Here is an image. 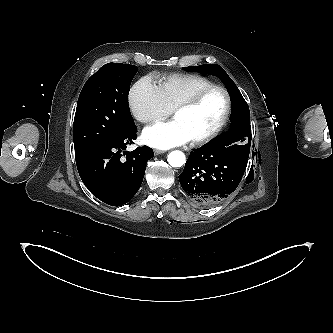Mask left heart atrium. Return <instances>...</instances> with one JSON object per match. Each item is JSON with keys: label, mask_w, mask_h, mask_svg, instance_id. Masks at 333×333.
<instances>
[{"label": "left heart atrium", "mask_w": 333, "mask_h": 333, "mask_svg": "<svg viewBox=\"0 0 333 333\" xmlns=\"http://www.w3.org/2000/svg\"><path fill=\"white\" fill-rule=\"evenodd\" d=\"M142 138L147 145L158 149H169L191 141L188 133L177 120L146 127Z\"/></svg>", "instance_id": "1"}]
</instances>
